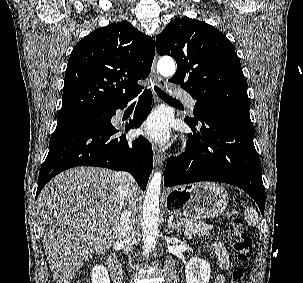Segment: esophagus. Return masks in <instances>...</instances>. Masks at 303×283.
<instances>
[{"label": "esophagus", "mask_w": 303, "mask_h": 283, "mask_svg": "<svg viewBox=\"0 0 303 283\" xmlns=\"http://www.w3.org/2000/svg\"><path fill=\"white\" fill-rule=\"evenodd\" d=\"M156 62H157V54L155 53V58L152 64V69H151V75L154 80V82L160 86H164V80L162 77L159 75L157 68H156ZM153 155H154V164L155 166L162 165L163 162L165 161V155L161 153L156 147H153Z\"/></svg>", "instance_id": "34e87169"}]
</instances>
